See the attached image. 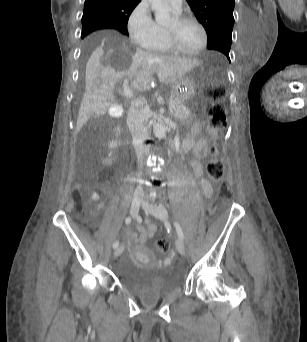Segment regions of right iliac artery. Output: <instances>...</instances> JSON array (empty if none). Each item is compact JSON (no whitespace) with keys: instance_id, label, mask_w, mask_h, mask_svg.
<instances>
[{"instance_id":"obj_1","label":"right iliac artery","mask_w":307,"mask_h":342,"mask_svg":"<svg viewBox=\"0 0 307 342\" xmlns=\"http://www.w3.org/2000/svg\"><path fill=\"white\" fill-rule=\"evenodd\" d=\"M125 223H126V224H130V223H131V217H130V216L127 217V218L125 219ZM118 245H119V242H118V241H115V242L113 243V248H117Z\"/></svg>"}]
</instances>
